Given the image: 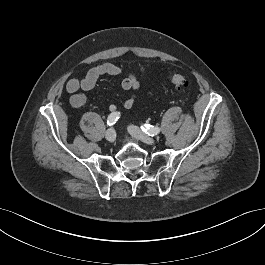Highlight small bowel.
I'll return each instance as SVG.
<instances>
[{"mask_svg": "<svg viewBox=\"0 0 265 265\" xmlns=\"http://www.w3.org/2000/svg\"><path fill=\"white\" fill-rule=\"evenodd\" d=\"M145 69V68H144ZM122 73V69L120 66L112 64V63H103L96 66L91 67L86 75L81 78H72L66 83V90L68 93H71L70 103L75 108H80L86 103V96L84 92L92 90L97 81L102 76H118ZM141 86V82L134 75L130 74L126 76L122 82L121 87L124 90H137ZM135 102V96H130L127 98L123 106L126 109H129L133 106ZM109 111H115L116 105L110 104Z\"/></svg>", "mask_w": 265, "mask_h": 265, "instance_id": "c3829d8e", "label": "small bowel"}]
</instances>
